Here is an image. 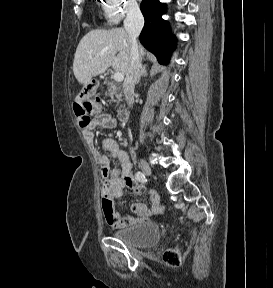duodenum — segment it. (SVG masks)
<instances>
[{"instance_id":"duodenum-1","label":"duodenum","mask_w":273,"mask_h":288,"mask_svg":"<svg viewBox=\"0 0 273 288\" xmlns=\"http://www.w3.org/2000/svg\"><path fill=\"white\" fill-rule=\"evenodd\" d=\"M118 120L121 123H126L129 120V114L126 110H119L118 111Z\"/></svg>"}]
</instances>
